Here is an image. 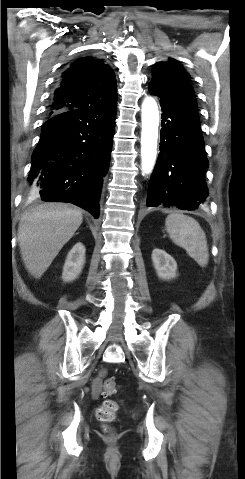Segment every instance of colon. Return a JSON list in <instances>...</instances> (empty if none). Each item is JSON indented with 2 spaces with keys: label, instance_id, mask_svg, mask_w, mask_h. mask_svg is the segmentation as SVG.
<instances>
[{
  "label": "colon",
  "instance_id": "colon-1",
  "mask_svg": "<svg viewBox=\"0 0 245 479\" xmlns=\"http://www.w3.org/2000/svg\"><path fill=\"white\" fill-rule=\"evenodd\" d=\"M119 389L118 384L112 378L105 379L103 383V392L106 395L115 394ZM119 405L116 401L106 400L97 410V418L101 422L108 423L114 419L115 413L117 412Z\"/></svg>",
  "mask_w": 245,
  "mask_h": 479
}]
</instances>
